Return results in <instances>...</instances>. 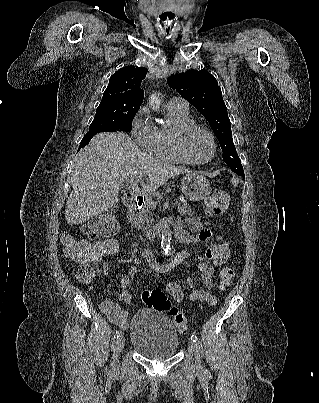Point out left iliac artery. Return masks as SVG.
Here are the masks:
<instances>
[{
	"instance_id": "left-iliac-artery-1",
	"label": "left iliac artery",
	"mask_w": 319,
	"mask_h": 403,
	"mask_svg": "<svg viewBox=\"0 0 319 403\" xmlns=\"http://www.w3.org/2000/svg\"><path fill=\"white\" fill-rule=\"evenodd\" d=\"M191 339L195 342L198 341V337L195 334H192Z\"/></svg>"
}]
</instances>
